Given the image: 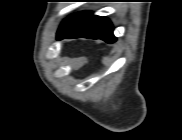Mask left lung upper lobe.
Instances as JSON below:
<instances>
[{"label":"left lung upper lobe","instance_id":"left-lung-upper-lobe-1","mask_svg":"<svg viewBox=\"0 0 182 140\" xmlns=\"http://www.w3.org/2000/svg\"><path fill=\"white\" fill-rule=\"evenodd\" d=\"M90 14L91 12H80L66 18L60 25V28L57 32V37L67 33L69 30L78 25L82 20H84Z\"/></svg>","mask_w":182,"mask_h":140}]
</instances>
